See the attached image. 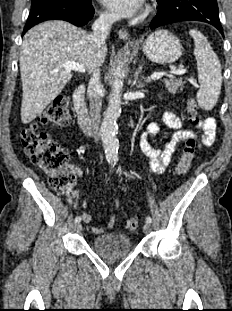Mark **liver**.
Wrapping results in <instances>:
<instances>
[{"label": "liver", "mask_w": 232, "mask_h": 311, "mask_svg": "<svg viewBox=\"0 0 232 311\" xmlns=\"http://www.w3.org/2000/svg\"><path fill=\"white\" fill-rule=\"evenodd\" d=\"M107 46L94 52L86 31L65 21H47L30 29L20 50L23 85L21 120H34L63 90L72 73L63 62H76L92 72L106 57Z\"/></svg>", "instance_id": "6515ba94"}]
</instances>
